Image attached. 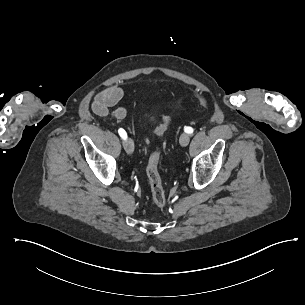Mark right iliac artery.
<instances>
[{
    "mask_svg": "<svg viewBox=\"0 0 305 305\" xmlns=\"http://www.w3.org/2000/svg\"><path fill=\"white\" fill-rule=\"evenodd\" d=\"M118 132H119V135L121 136V138H123L124 140L127 138V133L125 132L124 129L120 128L118 130Z\"/></svg>",
    "mask_w": 305,
    "mask_h": 305,
    "instance_id": "right-iliac-artery-1",
    "label": "right iliac artery"
}]
</instances>
